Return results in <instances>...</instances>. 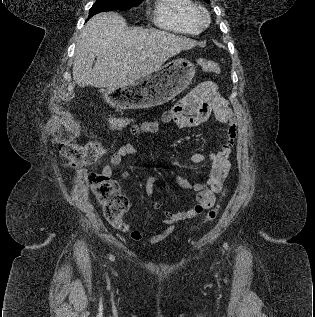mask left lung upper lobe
<instances>
[{"label": "left lung upper lobe", "instance_id": "1", "mask_svg": "<svg viewBox=\"0 0 315 317\" xmlns=\"http://www.w3.org/2000/svg\"><path fill=\"white\" fill-rule=\"evenodd\" d=\"M205 2H207V3H210V0H204Z\"/></svg>", "mask_w": 315, "mask_h": 317}]
</instances>
